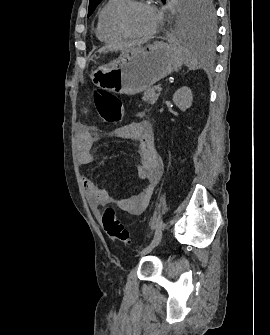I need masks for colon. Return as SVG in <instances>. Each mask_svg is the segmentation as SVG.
Here are the masks:
<instances>
[{
	"mask_svg": "<svg viewBox=\"0 0 270 335\" xmlns=\"http://www.w3.org/2000/svg\"><path fill=\"white\" fill-rule=\"evenodd\" d=\"M91 98L101 119L108 124H115L123 116V108L120 99L105 89L93 88ZM103 227L107 234L116 241L127 247H131L132 239L130 234L114 209L107 207L102 216Z\"/></svg>",
	"mask_w": 270,
	"mask_h": 335,
	"instance_id": "5ec220e1",
	"label": "colon"
}]
</instances>
